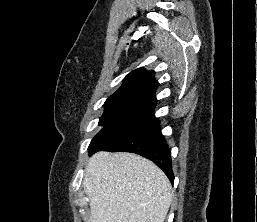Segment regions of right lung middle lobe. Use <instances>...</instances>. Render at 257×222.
<instances>
[{
  "instance_id": "right-lung-middle-lobe-1",
  "label": "right lung middle lobe",
  "mask_w": 257,
  "mask_h": 222,
  "mask_svg": "<svg viewBox=\"0 0 257 222\" xmlns=\"http://www.w3.org/2000/svg\"><path fill=\"white\" fill-rule=\"evenodd\" d=\"M99 120L103 128L92 139L89 151L104 146L154 116V103L140 100L105 102Z\"/></svg>"
}]
</instances>
